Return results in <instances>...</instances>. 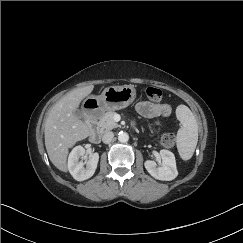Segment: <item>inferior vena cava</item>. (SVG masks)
<instances>
[{
	"mask_svg": "<svg viewBox=\"0 0 243 243\" xmlns=\"http://www.w3.org/2000/svg\"><path fill=\"white\" fill-rule=\"evenodd\" d=\"M114 138V133L111 131H107L104 133L102 137V141L106 144L110 143Z\"/></svg>",
	"mask_w": 243,
	"mask_h": 243,
	"instance_id": "obj_1",
	"label": "inferior vena cava"
}]
</instances>
